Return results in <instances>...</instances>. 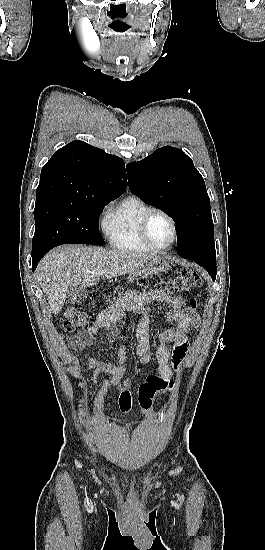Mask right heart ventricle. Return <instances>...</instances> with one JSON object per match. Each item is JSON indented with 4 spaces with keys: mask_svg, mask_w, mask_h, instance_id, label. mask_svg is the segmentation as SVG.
I'll use <instances>...</instances> for the list:
<instances>
[{
    "mask_svg": "<svg viewBox=\"0 0 265 550\" xmlns=\"http://www.w3.org/2000/svg\"><path fill=\"white\" fill-rule=\"evenodd\" d=\"M151 208L137 196H129L115 206L104 220V231L111 246L122 252L150 251L140 236L139 224Z\"/></svg>",
    "mask_w": 265,
    "mask_h": 550,
    "instance_id": "e07e8e85",
    "label": "right heart ventricle"
}]
</instances>
